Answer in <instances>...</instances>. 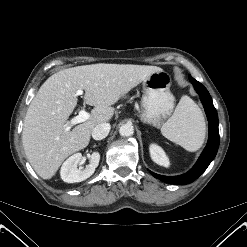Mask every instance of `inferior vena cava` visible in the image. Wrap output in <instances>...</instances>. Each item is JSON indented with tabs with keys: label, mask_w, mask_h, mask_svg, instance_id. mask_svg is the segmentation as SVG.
I'll return each mask as SVG.
<instances>
[{
	"label": "inferior vena cava",
	"mask_w": 247,
	"mask_h": 247,
	"mask_svg": "<svg viewBox=\"0 0 247 247\" xmlns=\"http://www.w3.org/2000/svg\"><path fill=\"white\" fill-rule=\"evenodd\" d=\"M111 129V126L109 123H101L96 125L92 130V137L95 140H102L104 139Z\"/></svg>",
	"instance_id": "inferior-vena-cava-1"
}]
</instances>
